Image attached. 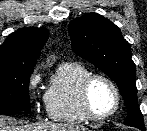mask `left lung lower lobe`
Listing matches in <instances>:
<instances>
[{"instance_id": "obj_1", "label": "left lung lower lobe", "mask_w": 147, "mask_h": 131, "mask_svg": "<svg viewBox=\"0 0 147 131\" xmlns=\"http://www.w3.org/2000/svg\"><path fill=\"white\" fill-rule=\"evenodd\" d=\"M142 131H145V128H141Z\"/></svg>"}]
</instances>
